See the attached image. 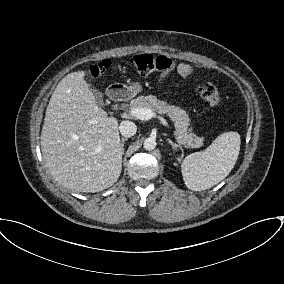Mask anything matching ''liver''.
Listing matches in <instances>:
<instances>
[{
	"mask_svg": "<svg viewBox=\"0 0 284 284\" xmlns=\"http://www.w3.org/2000/svg\"><path fill=\"white\" fill-rule=\"evenodd\" d=\"M85 75L69 73L55 88L46 109L41 150L59 184L94 193L118 180L123 153L118 120L98 107Z\"/></svg>",
	"mask_w": 284,
	"mask_h": 284,
	"instance_id": "obj_1",
	"label": "liver"
}]
</instances>
